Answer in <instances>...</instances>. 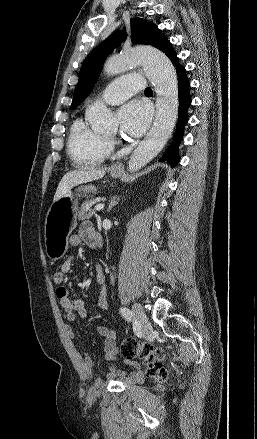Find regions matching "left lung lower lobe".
I'll return each instance as SVG.
<instances>
[{
	"label": "left lung lower lobe",
	"instance_id": "0a47b994",
	"mask_svg": "<svg viewBox=\"0 0 257 439\" xmlns=\"http://www.w3.org/2000/svg\"><path fill=\"white\" fill-rule=\"evenodd\" d=\"M164 53L168 56L171 62L174 64L178 76V91H179V111L178 122L174 134L173 141L163 156L159 159L162 162H169L171 166H175L179 162L178 147L179 143L183 140L184 126L188 121L187 110L191 104V98L189 94V81L186 76L185 68L179 64V60L176 52L173 50L171 44L166 48Z\"/></svg>",
	"mask_w": 257,
	"mask_h": 439
}]
</instances>
